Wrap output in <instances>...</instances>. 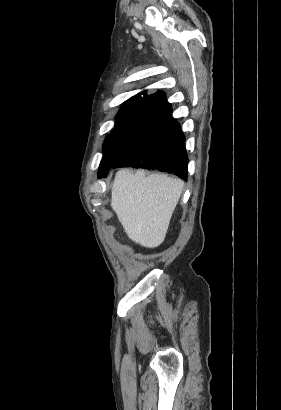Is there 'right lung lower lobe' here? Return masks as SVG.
<instances>
[{
    "label": "right lung lower lobe",
    "instance_id": "1",
    "mask_svg": "<svg viewBox=\"0 0 281 410\" xmlns=\"http://www.w3.org/2000/svg\"><path fill=\"white\" fill-rule=\"evenodd\" d=\"M171 113L133 145L112 168L156 169L187 179L185 136ZM108 171L99 174L98 178L105 177Z\"/></svg>",
    "mask_w": 281,
    "mask_h": 410
}]
</instances>
